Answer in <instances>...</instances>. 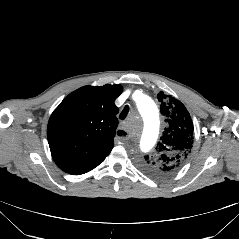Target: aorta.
Wrapping results in <instances>:
<instances>
[{"label":"aorta","instance_id":"1","mask_svg":"<svg viewBox=\"0 0 239 239\" xmlns=\"http://www.w3.org/2000/svg\"><path fill=\"white\" fill-rule=\"evenodd\" d=\"M138 115L141 116L146 122V131L140 137L139 147L141 151L148 153L152 151L154 144H156L159 130V113L158 108L154 101L147 95H141L136 100Z\"/></svg>","mask_w":239,"mask_h":239}]
</instances>
